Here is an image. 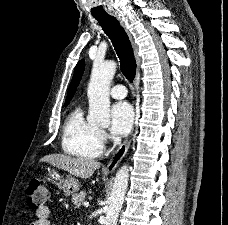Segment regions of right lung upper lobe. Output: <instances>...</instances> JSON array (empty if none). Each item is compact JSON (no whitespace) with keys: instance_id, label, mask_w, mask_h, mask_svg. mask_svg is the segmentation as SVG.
Listing matches in <instances>:
<instances>
[{"instance_id":"obj_1","label":"right lung upper lobe","mask_w":228,"mask_h":225,"mask_svg":"<svg viewBox=\"0 0 228 225\" xmlns=\"http://www.w3.org/2000/svg\"><path fill=\"white\" fill-rule=\"evenodd\" d=\"M84 68H85V61L84 60L79 61L75 67V73H74L73 79L71 81V84H70V87H69V90L67 93L65 105H68L70 100L72 99V97L77 89V86L79 85V82L81 80L82 74L84 72Z\"/></svg>"}]
</instances>
